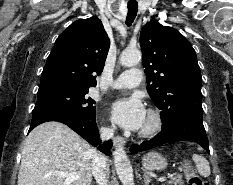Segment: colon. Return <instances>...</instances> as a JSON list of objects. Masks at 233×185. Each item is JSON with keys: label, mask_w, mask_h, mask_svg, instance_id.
Here are the masks:
<instances>
[{"label": "colon", "mask_w": 233, "mask_h": 185, "mask_svg": "<svg viewBox=\"0 0 233 185\" xmlns=\"http://www.w3.org/2000/svg\"><path fill=\"white\" fill-rule=\"evenodd\" d=\"M184 172L188 180V185H207L190 164L185 165Z\"/></svg>", "instance_id": "colon-1"}]
</instances>
